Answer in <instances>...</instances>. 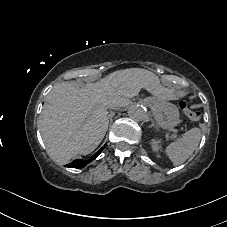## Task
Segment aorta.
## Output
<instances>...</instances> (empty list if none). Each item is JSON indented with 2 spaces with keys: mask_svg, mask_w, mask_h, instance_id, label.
I'll list each match as a JSON object with an SVG mask.
<instances>
[{
  "mask_svg": "<svg viewBox=\"0 0 227 227\" xmlns=\"http://www.w3.org/2000/svg\"><path fill=\"white\" fill-rule=\"evenodd\" d=\"M128 116L135 121H142L147 118V110L142 105H132L128 109Z\"/></svg>",
  "mask_w": 227,
  "mask_h": 227,
  "instance_id": "1",
  "label": "aorta"
}]
</instances>
